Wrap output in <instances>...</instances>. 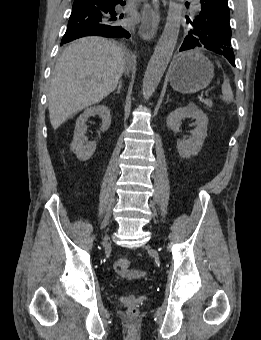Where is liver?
<instances>
[{
  "label": "liver",
  "mask_w": 261,
  "mask_h": 340,
  "mask_svg": "<svg viewBox=\"0 0 261 340\" xmlns=\"http://www.w3.org/2000/svg\"><path fill=\"white\" fill-rule=\"evenodd\" d=\"M129 63L119 46L101 37H84L66 47L52 72L48 93L53 129L108 96Z\"/></svg>",
  "instance_id": "obj_1"
}]
</instances>
